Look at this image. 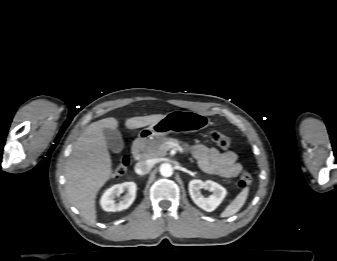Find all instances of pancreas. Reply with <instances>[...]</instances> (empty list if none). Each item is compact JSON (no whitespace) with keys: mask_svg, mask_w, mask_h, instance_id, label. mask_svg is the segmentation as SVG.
<instances>
[{"mask_svg":"<svg viewBox=\"0 0 337 261\" xmlns=\"http://www.w3.org/2000/svg\"><path fill=\"white\" fill-rule=\"evenodd\" d=\"M168 142L181 144L186 152L189 151L190 145L182 143L177 139L168 137H158L156 139L146 140L140 144V155L142 158H156L166 155L165 145Z\"/></svg>","mask_w":337,"mask_h":261,"instance_id":"1","label":"pancreas"}]
</instances>
